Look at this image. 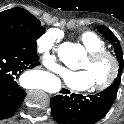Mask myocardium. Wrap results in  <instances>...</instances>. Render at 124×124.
<instances>
[{
  "label": "myocardium",
  "mask_w": 124,
  "mask_h": 124,
  "mask_svg": "<svg viewBox=\"0 0 124 124\" xmlns=\"http://www.w3.org/2000/svg\"><path fill=\"white\" fill-rule=\"evenodd\" d=\"M87 57L92 62H97L102 59L109 60L111 64L110 74L103 82L94 85L92 88L93 91H96V92H101V91L108 89L114 83V81L116 80L119 74V62H118L117 57L111 51L107 49L89 51Z\"/></svg>",
  "instance_id": "obj_1"
}]
</instances>
